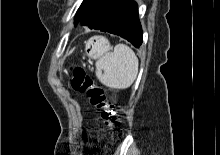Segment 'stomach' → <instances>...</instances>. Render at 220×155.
Instances as JSON below:
<instances>
[{
    "label": "stomach",
    "mask_w": 220,
    "mask_h": 155,
    "mask_svg": "<svg viewBox=\"0 0 220 155\" xmlns=\"http://www.w3.org/2000/svg\"><path fill=\"white\" fill-rule=\"evenodd\" d=\"M86 49H88L90 57L98 58L107 53L111 49V46L106 38L94 36L87 42Z\"/></svg>",
    "instance_id": "obj_1"
}]
</instances>
